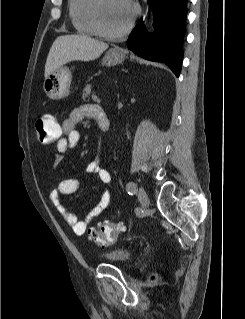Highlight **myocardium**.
I'll return each mask as SVG.
<instances>
[{
	"label": "myocardium",
	"instance_id": "f54148a6",
	"mask_svg": "<svg viewBox=\"0 0 245 319\" xmlns=\"http://www.w3.org/2000/svg\"><path fill=\"white\" fill-rule=\"evenodd\" d=\"M102 4H103V0H94V3L92 5V19H93V23L96 28L97 34L105 38L117 39L129 33L132 27L134 26L135 20L137 18V14H138L137 7L132 6V14H131L130 20L124 28H122L119 31H109L104 27L102 22V17H101Z\"/></svg>",
	"mask_w": 245,
	"mask_h": 319
}]
</instances>
